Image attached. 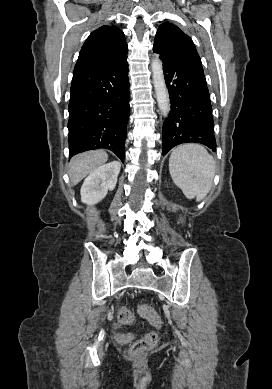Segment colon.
<instances>
[{
  "mask_svg": "<svg viewBox=\"0 0 272 389\" xmlns=\"http://www.w3.org/2000/svg\"><path fill=\"white\" fill-rule=\"evenodd\" d=\"M138 313L140 316L146 318L152 325L159 327L161 325V319L152 307L146 304L138 306ZM118 320L123 325H132L135 320V314L133 311L126 307H120L118 310ZM158 341V335L156 332L146 333L141 340L134 343L130 349V355L132 357H138L148 350L152 349Z\"/></svg>",
  "mask_w": 272,
  "mask_h": 389,
  "instance_id": "obj_1",
  "label": "colon"
}]
</instances>
